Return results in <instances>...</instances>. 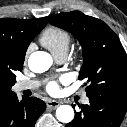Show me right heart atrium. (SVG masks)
I'll use <instances>...</instances> for the list:
<instances>
[{"label":"right heart atrium","instance_id":"d8ad5b80","mask_svg":"<svg viewBox=\"0 0 127 127\" xmlns=\"http://www.w3.org/2000/svg\"><path fill=\"white\" fill-rule=\"evenodd\" d=\"M31 48H32V45L29 47V50H28V52L31 50Z\"/></svg>","mask_w":127,"mask_h":127}]
</instances>
